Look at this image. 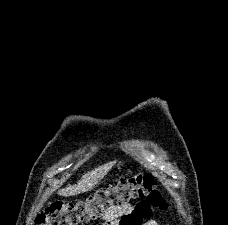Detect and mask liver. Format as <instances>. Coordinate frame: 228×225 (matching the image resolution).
Returning a JSON list of instances; mask_svg holds the SVG:
<instances>
[{
    "instance_id": "1",
    "label": "liver",
    "mask_w": 228,
    "mask_h": 225,
    "mask_svg": "<svg viewBox=\"0 0 228 225\" xmlns=\"http://www.w3.org/2000/svg\"><path fill=\"white\" fill-rule=\"evenodd\" d=\"M115 163L116 161H111V163H106V165L97 167V169H94L91 173L82 175L80 181H78L76 185H68L65 189H60L58 195H61V197H71V195H80V193L90 191V189H93V187L107 175L108 171L114 167Z\"/></svg>"
}]
</instances>
